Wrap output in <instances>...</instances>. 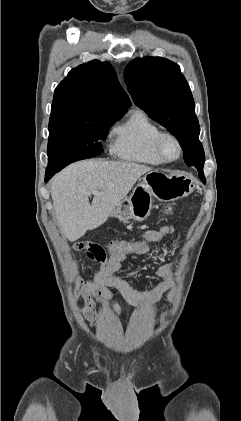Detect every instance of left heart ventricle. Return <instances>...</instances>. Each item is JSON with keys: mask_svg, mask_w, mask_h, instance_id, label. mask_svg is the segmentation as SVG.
<instances>
[{"mask_svg": "<svg viewBox=\"0 0 241 421\" xmlns=\"http://www.w3.org/2000/svg\"><path fill=\"white\" fill-rule=\"evenodd\" d=\"M163 149L165 155L169 158H172L177 154L176 144L170 139L165 140Z\"/></svg>", "mask_w": 241, "mask_h": 421, "instance_id": "obj_1", "label": "left heart ventricle"}]
</instances>
